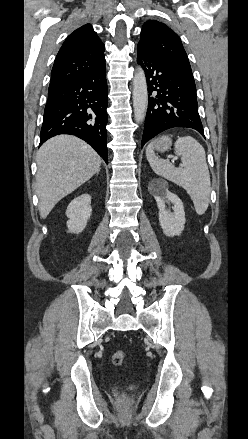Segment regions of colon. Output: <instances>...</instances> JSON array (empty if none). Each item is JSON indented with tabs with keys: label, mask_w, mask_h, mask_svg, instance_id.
Listing matches in <instances>:
<instances>
[{
	"label": "colon",
	"mask_w": 248,
	"mask_h": 439,
	"mask_svg": "<svg viewBox=\"0 0 248 439\" xmlns=\"http://www.w3.org/2000/svg\"><path fill=\"white\" fill-rule=\"evenodd\" d=\"M126 360V353L124 351H116L112 355V362L114 365L120 366L122 365Z\"/></svg>",
	"instance_id": "1"
}]
</instances>
